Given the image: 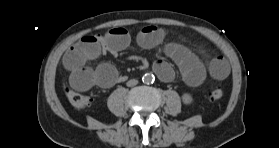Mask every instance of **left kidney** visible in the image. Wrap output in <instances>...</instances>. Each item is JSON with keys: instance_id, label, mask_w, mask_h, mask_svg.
<instances>
[{"instance_id": "left-kidney-1", "label": "left kidney", "mask_w": 279, "mask_h": 148, "mask_svg": "<svg viewBox=\"0 0 279 148\" xmlns=\"http://www.w3.org/2000/svg\"><path fill=\"white\" fill-rule=\"evenodd\" d=\"M182 101H183L184 104L189 105V104L192 103L193 98L190 94L185 93V94L182 95Z\"/></svg>"}]
</instances>
